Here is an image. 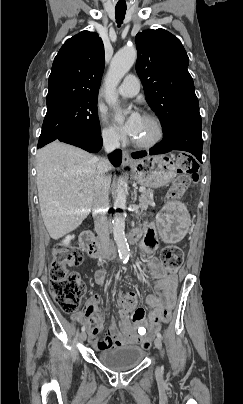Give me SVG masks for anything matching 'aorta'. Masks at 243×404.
Returning a JSON list of instances; mask_svg holds the SVG:
<instances>
[{
	"label": "aorta",
	"mask_w": 243,
	"mask_h": 404,
	"mask_svg": "<svg viewBox=\"0 0 243 404\" xmlns=\"http://www.w3.org/2000/svg\"><path fill=\"white\" fill-rule=\"evenodd\" d=\"M137 50L135 46H124L119 52H116L114 58L111 60L110 68L105 80V100L108 106L115 108L118 104V94L116 88L124 78L125 74L132 68L136 62ZM118 124H123L124 116H116ZM124 176L123 174L121 175ZM118 194L115 198L113 206V222L112 230L116 246L118 248L120 260L126 262L129 258V246L125 236V219L127 217L126 210V196L122 188V182L117 190Z\"/></svg>",
	"instance_id": "obj_1"
}]
</instances>
